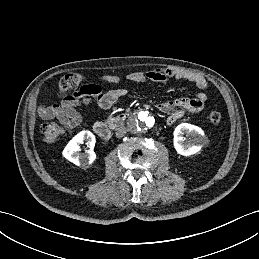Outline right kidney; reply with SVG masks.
Wrapping results in <instances>:
<instances>
[{"label":"right kidney","instance_id":"1","mask_svg":"<svg viewBox=\"0 0 259 259\" xmlns=\"http://www.w3.org/2000/svg\"><path fill=\"white\" fill-rule=\"evenodd\" d=\"M86 141L87 146L90 148L85 153H79L80 144ZM95 146V136L90 131H81L74 136L66 145L63 150V156L77 166H86L96 159V154L93 151Z\"/></svg>","mask_w":259,"mask_h":259}]
</instances>
